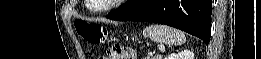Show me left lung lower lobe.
I'll return each instance as SVG.
<instances>
[{
  "label": "left lung lower lobe",
  "instance_id": "0a47b994",
  "mask_svg": "<svg viewBox=\"0 0 261 59\" xmlns=\"http://www.w3.org/2000/svg\"><path fill=\"white\" fill-rule=\"evenodd\" d=\"M212 0H128L107 15L119 21H146L175 27L210 40Z\"/></svg>",
  "mask_w": 261,
  "mask_h": 59
}]
</instances>
